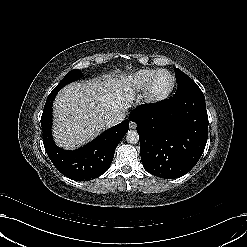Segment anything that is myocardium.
I'll list each match as a JSON object with an SVG mask.
<instances>
[{
	"label": "myocardium",
	"mask_w": 247,
	"mask_h": 247,
	"mask_svg": "<svg viewBox=\"0 0 247 247\" xmlns=\"http://www.w3.org/2000/svg\"><path fill=\"white\" fill-rule=\"evenodd\" d=\"M162 74H166L170 78L169 85L164 88H160L157 85L158 79ZM174 86H175L174 76L167 70L164 69L158 70L144 91L143 101L149 104L161 102L170 95Z\"/></svg>",
	"instance_id": "myocardium-1"
}]
</instances>
